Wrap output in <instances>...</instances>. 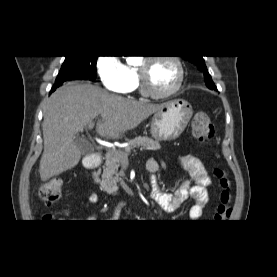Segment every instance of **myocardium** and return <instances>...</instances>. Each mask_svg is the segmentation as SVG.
Masks as SVG:
<instances>
[{
    "label": "myocardium",
    "instance_id": "myocardium-1",
    "mask_svg": "<svg viewBox=\"0 0 277 277\" xmlns=\"http://www.w3.org/2000/svg\"><path fill=\"white\" fill-rule=\"evenodd\" d=\"M157 60H168L171 63H173L177 69V80L175 84L170 90L162 93H157L152 91L149 88L147 83V72H146L147 70L145 65ZM137 73H138V84H139L140 92L142 93V95L152 99H166L173 96L180 90L185 78V70H184L183 64L180 58L174 55H159V56L147 57L145 59L144 65L137 68Z\"/></svg>",
    "mask_w": 277,
    "mask_h": 277
}]
</instances>
